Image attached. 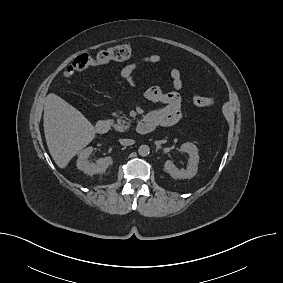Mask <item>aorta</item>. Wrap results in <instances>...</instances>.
<instances>
[{
    "label": "aorta",
    "mask_w": 283,
    "mask_h": 283,
    "mask_svg": "<svg viewBox=\"0 0 283 283\" xmlns=\"http://www.w3.org/2000/svg\"><path fill=\"white\" fill-rule=\"evenodd\" d=\"M138 153L142 157H146L150 153V148L148 145H141L138 149Z\"/></svg>",
    "instance_id": "aorta-1"
}]
</instances>
